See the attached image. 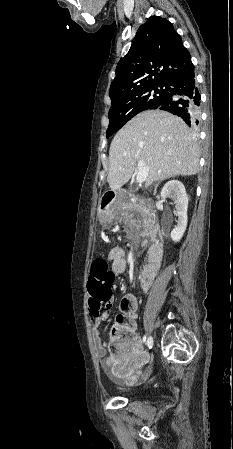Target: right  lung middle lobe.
<instances>
[{
    "mask_svg": "<svg viewBox=\"0 0 233 449\" xmlns=\"http://www.w3.org/2000/svg\"><path fill=\"white\" fill-rule=\"evenodd\" d=\"M167 92L166 84H153L111 99L106 137H110L138 113L157 108Z\"/></svg>",
    "mask_w": 233,
    "mask_h": 449,
    "instance_id": "right-lung-middle-lobe-1",
    "label": "right lung middle lobe"
}]
</instances>
